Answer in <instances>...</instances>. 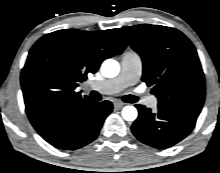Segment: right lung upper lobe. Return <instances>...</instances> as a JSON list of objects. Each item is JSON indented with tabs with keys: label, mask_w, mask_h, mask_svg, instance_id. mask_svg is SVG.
Listing matches in <instances>:
<instances>
[{
	"label": "right lung upper lobe",
	"mask_w": 220,
	"mask_h": 173,
	"mask_svg": "<svg viewBox=\"0 0 220 173\" xmlns=\"http://www.w3.org/2000/svg\"><path fill=\"white\" fill-rule=\"evenodd\" d=\"M117 32L58 30L35 43L21 76L26 107L37 108L29 113L31 121L69 98H81L80 93L63 89H74L77 78L85 80L104 59L122 53L127 42Z\"/></svg>",
	"instance_id": "cb5924a9"
}]
</instances>
